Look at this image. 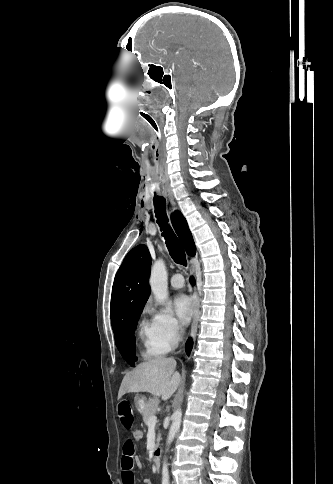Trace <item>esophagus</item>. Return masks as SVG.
I'll list each match as a JSON object with an SVG mask.
<instances>
[{
	"label": "esophagus",
	"instance_id": "1",
	"mask_svg": "<svg viewBox=\"0 0 333 484\" xmlns=\"http://www.w3.org/2000/svg\"><path fill=\"white\" fill-rule=\"evenodd\" d=\"M169 199H170L171 203L173 204L174 203L173 197L170 196ZM191 271H192V273H195L194 267H191ZM193 306H194V316H193V321H192V324H191L190 335L193 339H195V337L197 335L198 320H199V315H200L199 297H198V293H197L196 290H194V293H193Z\"/></svg>",
	"mask_w": 333,
	"mask_h": 484
}]
</instances>
